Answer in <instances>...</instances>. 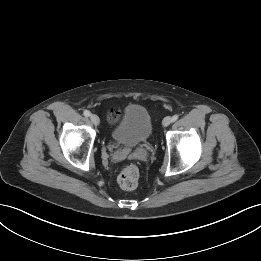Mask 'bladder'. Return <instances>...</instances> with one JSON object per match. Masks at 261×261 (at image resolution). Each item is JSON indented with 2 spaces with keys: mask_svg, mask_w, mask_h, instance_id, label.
Instances as JSON below:
<instances>
[{
  "mask_svg": "<svg viewBox=\"0 0 261 261\" xmlns=\"http://www.w3.org/2000/svg\"><path fill=\"white\" fill-rule=\"evenodd\" d=\"M152 129V119L148 110L142 105L130 104L114 125L111 135L118 144L136 147L150 138Z\"/></svg>",
  "mask_w": 261,
  "mask_h": 261,
  "instance_id": "31cf9c89",
  "label": "bladder"
}]
</instances>
